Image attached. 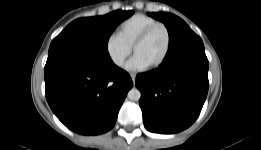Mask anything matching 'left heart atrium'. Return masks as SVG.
<instances>
[{
	"label": "left heart atrium",
	"mask_w": 261,
	"mask_h": 150,
	"mask_svg": "<svg viewBox=\"0 0 261 150\" xmlns=\"http://www.w3.org/2000/svg\"><path fill=\"white\" fill-rule=\"evenodd\" d=\"M148 67L149 65L140 56L136 54L126 65V69L130 71H142Z\"/></svg>",
	"instance_id": "39dd6f15"
}]
</instances>
